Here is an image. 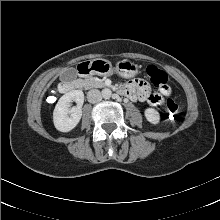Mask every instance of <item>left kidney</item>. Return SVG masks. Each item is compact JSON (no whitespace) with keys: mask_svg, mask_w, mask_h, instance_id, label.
I'll return each mask as SVG.
<instances>
[{"mask_svg":"<svg viewBox=\"0 0 220 220\" xmlns=\"http://www.w3.org/2000/svg\"><path fill=\"white\" fill-rule=\"evenodd\" d=\"M144 115L151 124H158L160 121V114L154 108H147L144 111Z\"/></svg>","mask_w":220,"mask_h":220,"instance_id":"obj_1","label":"left kidney"}]
</instances>
